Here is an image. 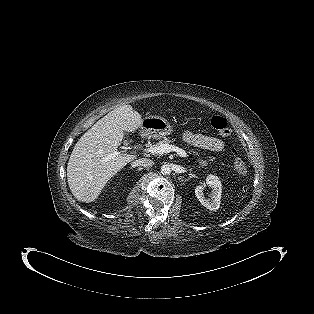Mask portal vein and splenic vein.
I'll return each instance as SVG.
<instances>
[{"instance_id": "1", "label": "portal vein and splenic vein", "mask_w": 314, "mask_h": 314, "mask_svg": "<svg viewBox=\"0 0 314 314\" xmlns=\"http://www.w3.org/2000/svg\"><path fill=\"white\" fill-rule=\"evenodd\" d=\"M145 151L147 153L159 154V155L164 154V153L176 152L181 157H188V155H187L185 150H183V149H181L179 147L170 145V144H161V145L154 146V147H148V148L145 149ZM118 154H119V152L111 153L110 155H108V157L106 159L107 160L113 159Z\"/></svg>"}]
</instances>
